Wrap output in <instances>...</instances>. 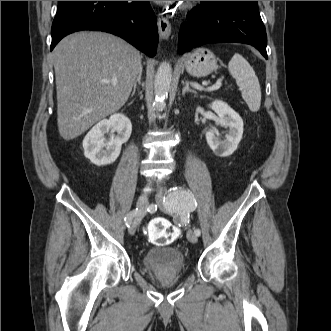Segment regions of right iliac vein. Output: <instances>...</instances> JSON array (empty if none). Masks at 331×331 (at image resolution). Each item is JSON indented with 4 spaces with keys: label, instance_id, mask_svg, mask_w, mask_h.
I'll return each instance as SVG.
<instances>
[{
    "label": "right iliac vein",
    "instance_id": "right-iliac-vein-1",
    "mask_svg": "<svg viewBox=\"0 0 331 331\" xmlns=\"http://www.w3.org/2000/svg\"><path fill=\"white\" fill-rule=\"evenodd\" d=\"M148 206V198L145 194L141 195L137 201V209H138V214L136 215L135 219L133 222H131L130 227H129V234L134 235L136 232V229L144 215V212Z\"/></svg>",
    "mask_w": 331,
    "mask_h": 331
}]
</instances>
